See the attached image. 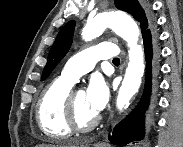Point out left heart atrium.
I'll list each match as a JSON object with an SVG mask.
<instances>
[{
    "label": "left heart atrium",
    "mask_w": 183,
    "mask_h": 147,
    "mask_svg": "<svg viewBox=\"0 0 183 147\" xmlns=\"http://www.w3.org/2000/svg\"><path fill=\"white\" fill-rule=\"evenodd\" d=\"M85 94L89 107L98 114L108 101L109 89L101 77L95 76L90 80Z\"/></svg>",
    "instance_id": "1"
}]
</instances>
